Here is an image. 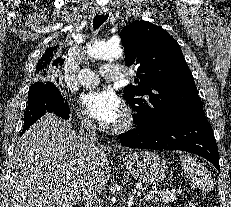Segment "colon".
I'll use <instances>...</instances> for the list:
<instances>
[{
    "label": "colon",
    "instance_id": "colon-1",
    "mask_svg": "<svg viewBox=\"0 0 231 207\" xmlns=\"http://www.w3.org/2000/svg\"><path fill=\"white\" fill-rule=\"evenodd\" d=\"M189 207H198V206L195 204H190Z\"/></svg>",
    "mask_w": 231,
    "mask_h": 207
}]
</instances>
